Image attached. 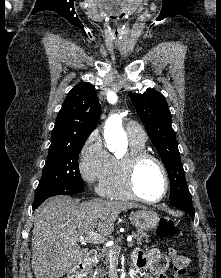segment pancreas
Here are the masks:
<instances>
[{"label": "pancreas", "mask_w": 221, "mask_h": 278, "mask_svg": "<svg viewBox=\"0 0 221 278\" xmlns=\"http://www.w3.org/2000/svg\"><path fill=\"white\" fill-rule=\"evenodd\" d=\"M133 237L137 240V244H141V242H148V235L144 232H137V233H133ZM133 245V242L132 244ZM121 247L118 244L113 245L112 247H110L109 249L104 248L102 250V252L99 255V258L102 259L103 264L104 265H108L109 263V253L110 251H112L114 253V255L117 257L120 253ZM97 263L95 262L94 265H96ZM90 276L89 278H106L108 272L106 271V269L103 268H96L94 271L93 270H89Z\"/></svg>", "instance_id": "1"}]
</instances>
